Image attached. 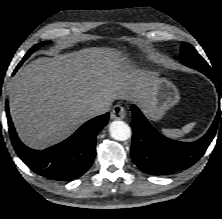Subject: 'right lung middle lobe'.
Wrapping results in <instances>:
<instances>
[{
  "instance_id": "right-lung-middle-lobe-1",
  "label": "right lung middle lobe",
  "mask_w": 222,
  "mask_h": 219,
  "mask_svg": "<svg viewBox=\"0 0 222 219\" xmlns=\"http://www.w3.org/2000/svg\"><path fill=\"white\" fill-rule=\"evenodd\" d=\"M48 43H50V42H48V41H43V42H40V43L36 44L34 47H32V48L28 51V53L26 54L25 58L20 62V64L18 65V67L21 66V64L30 56V54H31L33 51L37 50L39 47H41V46H43V45H45V44H48Z\"/></svg>"
}]
</instances>
